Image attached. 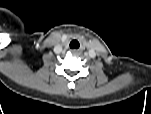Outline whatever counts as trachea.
Returning a JSON list of instances; mask_svg holds the SVG:
<instances>
[{
  "instance_id": "3493384b",
  "label": "trachea",
  "mask_w": 151,
  "mask_h": 114,
  "mask_svg": "<svg viewBox=\"0 0 151 114\" xmlns=\"http://www.w3.org/2000/svg\"><path fill=\"white\" fill-rule=\"evenodd\" d=\"M69 46H70L71 49H78L79 46H80V43L78 42V40L73 39V40L70 41Z\"/></svg>"
}]
</instances>
